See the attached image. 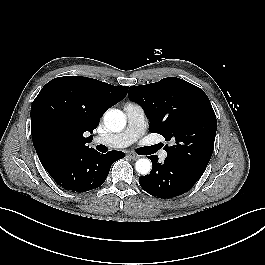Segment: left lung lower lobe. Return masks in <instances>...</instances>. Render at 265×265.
Wrapping results in <instances>:
<instances>
[{"mask_svg": "<svg viewBox=\"0 0 265 265\" xmlns=\"http://www.w3.org/2000/svg\"><path fill=\"white\" fill-rule=\"evenodd\" d=\"M152 171L140 177L141 187L154 197L173 198L189 191L203 175L188 166L174 163L166 159L158 163L157 155L149 156Z\"/></svg>", "mask_w": 265, "mask_h": 265, "instance_id": "left-lung-lower-lobe-1", "label": "left lung lower lobe"}]
</instances>
